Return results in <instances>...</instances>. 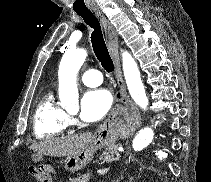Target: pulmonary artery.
I'll list each match as a JSON object with an SVG mask.
<instances>
[{
	"label": "pulmonary artery",
	"instance_id": "1",
	"mask_svg": "<svg viewBox=\"0 0 211 182\" xmlns=\"http://www.w3.org/2000/svg\"><path fill=\"white\" fill-rule=\"evenodd\" d=\"M103 76L98 70H87L81 75V81L88 87H96L102 83Z\"/></svg>",
	"mask_w": 211,
	"mask_h": 182
}]
</instances>
